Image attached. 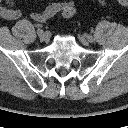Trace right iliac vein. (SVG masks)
<instances>
[{"label": "right iliac vein", "instance_id": "obj_1", "mask_svg": "<svg viewBox=\"0 0 128 128\" xmlns=\"http://www.w3.org/2000/svg\"><path fill=\"white\" fill-rule=\"evenodd\" d=\"M37 35L41 41H47L49 39L48 34L41 29L37 30Z\"/></svg>", "mask_w": 128, "mask_h": 128}]
</instances>
